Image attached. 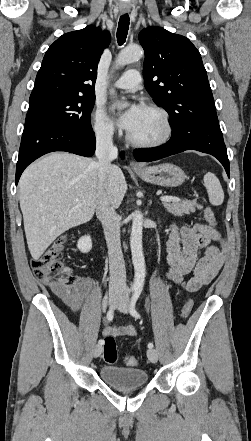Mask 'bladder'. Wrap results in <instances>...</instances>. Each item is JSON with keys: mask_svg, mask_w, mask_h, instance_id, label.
<instances>
[{"mask_svg": "<svg viewBox=\"0 0 251 441\" xmlns=\"http://www.w3.org/2000/svg\"><path fill=\"white\" fill-rule=\"evenodd\" d=\"M99 376L103 382L116 389L139 388L149 381V375L143 369L115 365L101 367Z\"/></svg>", "mask_w": 251, "mask_h": 441, "instance_id": "bladder-1", "label": "bladder"}]
</instances>
